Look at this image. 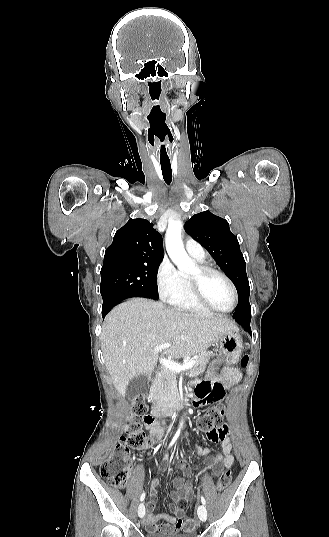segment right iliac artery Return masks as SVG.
I'll return each mask as SVG.
<instances>
[{
  "label": "right iliac artery",
  "instance_id": "right-iliac-artery-1",
  "mask_svg": "<svg viewBox=\"0 0 329 537\" xmlns=\"http://www.w3.org/2000/svg\"><path fill=\"white\" fill-rule=\"evenodd\" d=\"M179 435H180V430H177V432L175 433L171 443L169 444V447H171L175 443V441L177 440ZM144 499H145V492L142 493V495L140 497V501L142 502Z\"/></svg>",
  "mask_w": 329,
  "mask_h": 537
}]
</instances>
